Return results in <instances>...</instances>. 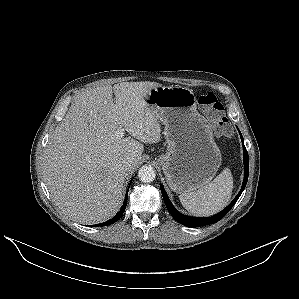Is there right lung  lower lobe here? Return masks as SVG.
I'll return each mask as SVG.
<instances>
[{
  "instance_id": "98d812e1",
  "label": "right lung lower lobe",
  "mask_w": 299,
  "mask_h": 299,
  "mask_svg": "<svg viewBox=\"0 0 299 299\" xmlns=\"http://www.w3.org/2000/svg\"><path fill=\"white\" fill-rule=\"evenodd\" d=\"M130 184H131V183H130ZM129 187H130V186H129ZM128 190H129V188H128ZM128 190H127V192H126L125 202H124V204H123L121 210L115 215V217H113L112 219H110V220H108V221H106V222H103V223H101V224H97V225H95V226H106V225H111V224L115 223L116 221H118V220L121 218V216L123 215V213H124V211H125L126 205H127Z\"/></svg>"
}]
</instances>
